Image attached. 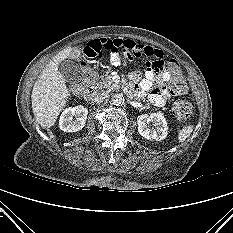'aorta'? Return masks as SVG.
<instances>
[{"instance_id": "1", "label": "aorta", "mask_w": 233, "mask_h": 233, "mask_svg": "<svg viewBox=\"0 0 233 233\" xmlns=\"http://www.w3.org/2000/svg\"><path fill=\"white\" fill-rule=\"evenodd\" d=\"M124 96H123V94H114L113 96H112V103L114 104V105H116V106H121V105H123L124 104Z\"/></svg>"}]
</instances>
